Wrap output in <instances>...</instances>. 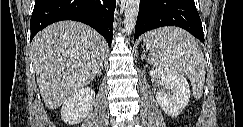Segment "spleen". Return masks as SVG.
Wrapping results in <instances>:
<instances>
[{
  "instance_id": "spleen-1",
  "label": "spleen",
  "mask_w": 243,
  "mask_h": 127,
  "mask_svg": "<svg viewBox=\"0 0 243 127\" xmlns=\"http://www.w3.org/2000/svg\"><path fill=\"white\" fill-rule=\"evenodd\" d=\"M153 43L149 61L158 70L182 74L189 78L194 97L202 96L205 83V59L193 36L174 27H166L147 34L144 42Z\"/></svg>"
}]
</instances>
